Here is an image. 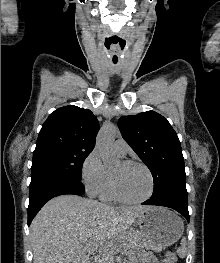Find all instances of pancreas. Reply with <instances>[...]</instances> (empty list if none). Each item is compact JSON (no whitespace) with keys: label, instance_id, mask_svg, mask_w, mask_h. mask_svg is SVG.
Wrapping results in <instances>:
<instances>
[{"label":"pancreas","instance_id":"obj_1","mask_svg":"<svg viewBox=\"0 0 220 263\" xmlns=\"http://www.w3.org/2000/svg\"><path fill=\"white\" fill-rule=\"evenodd\" d=\"M140 235L141 233L139 231L136 230H129L127 232H125L122 236L121 239V248L124 251L136 248V247H140L141 242H140ZM115 249L112 247L109 250L105 251L101 258L99 260H97L96 262L93 263H108V259L112 256V254L114 253Z\"/></svg>","mask_w":220,"mask_h":263}]
</instances>
